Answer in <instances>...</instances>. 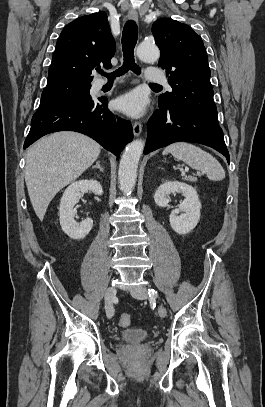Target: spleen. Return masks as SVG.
Returning <instances> with one entry per match:
<instances>
[{
	"label": "spleen",
	"instance_id": "spleen-1",
	"mask_svg": "<svg viewBox=\"0 0 265 407\" xmlns=\"http://www.w3.org/2000/svg\"><path fill=\"white\" fill-rule=\"evenodd\" d=\"M169 153L193 169L205 172L212 181L225 178V171L217 159L200 147L186 142H177L164 149L163 155Z\"/></svg>",
	"mask_w": 265,
	"mask_h": 407
}]
</instances>
